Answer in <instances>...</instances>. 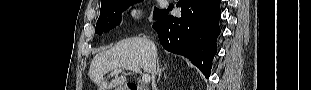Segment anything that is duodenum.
<instances>
[{"instance_id":"duodenum-1","label":"duodenum","mask_w":311,"mask_h":90,"mask_svg":"<svg viewBox=\"0 0 311 90\" xmlns=\"http://www.w3.org/2000/svg\"><path fill=\"white\" fill-rule=\"evenodd\" d=\"M125 90H146V88L135 85V84H130L127 86V88Z\"/></svg>"}]
</instances>
